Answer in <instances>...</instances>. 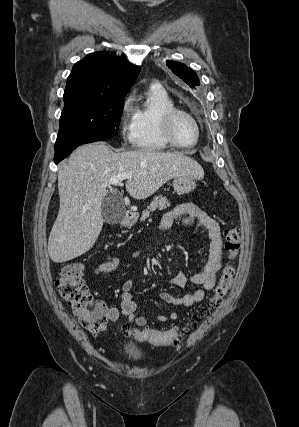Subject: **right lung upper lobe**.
Wrapping results in <instances>:
<instances>
[{
    "mask_svg": "<svg viewBox=\"0 0 299 427\" xmlns=\"http://www.w3.org/2000/svg\"><path fill=\"white\" fill-rule=\"evenodd\" d=\"M139 71L140 66L129 63L125 58L103 52L91 53L74 64L63 99L84 95L125 96Z\"/></svg>",
    "mask_w": 299,
    "mask_h": 427,
    "instance_id": "right-lung-upper-lobe-1",
    "label": "right lung upper lobe"
}]
</instances>
